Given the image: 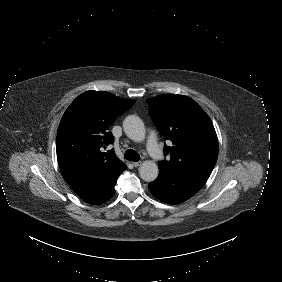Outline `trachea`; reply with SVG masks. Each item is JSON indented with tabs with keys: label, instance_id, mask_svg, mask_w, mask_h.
Wrapping results in <instances>:
<instances>
[{
	"label": "trachea",
	"instance_id": "3493384b",
	"mask_svg": "<svg viewBox=\"0 0 282 282\" xmlns=\"http://www.w3.org/2000/svg\"><path fill=\"white\" fill-rule=\"evenodd\" d=\"M124 158L129 161L137 162L140 160V155L135 150L127 149Z\"/></svg>",
	"mask_w": 282,
	"mask_h": 282
}]
</instances>
